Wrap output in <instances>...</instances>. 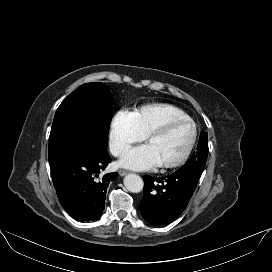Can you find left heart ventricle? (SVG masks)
<instances>
[{
    "label": "left heart ventricle",
    "instance_id": "left-heart-ventricle-1",
    "mask_svg": "<svg viewBox=\"0 0 272 272\" xmlns=\"http://www.w3.org/2000/svg\"><path fill=\"white\" fill-rule=\"evenodd\" d=\"M193 135L189 124H179L167 133L153 137L147 144L156 153L160 164L171 163L179 159L187 150Z\"/></svg>",
    "mask_w": 272,
    "mask_h": 272
}]
</instances>
